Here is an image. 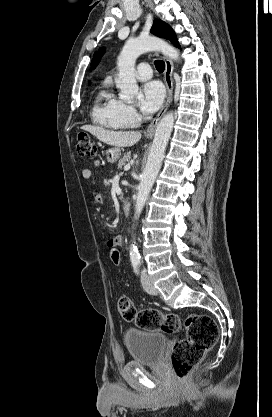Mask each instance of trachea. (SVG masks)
<instances>
[{"label":"trachea","instance_id":"3493384b","mask_svg":"<svg viewBox=\"0 0 272 417\" xmlns=\"http://www.w3.org/2000/svg\"><path fill=\"white\" fill-rule=\"evenodd\" d=\"M155 67L158 72H163L165 69V63L162 60L155 61Z\"/></svg>","mask_w":272,"mask_h":417}]
</instances>
